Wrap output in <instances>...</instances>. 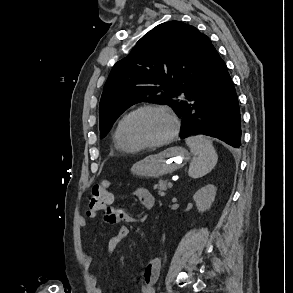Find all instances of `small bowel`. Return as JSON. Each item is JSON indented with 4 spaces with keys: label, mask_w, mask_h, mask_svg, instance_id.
<instances>
[{
    "label": "small bowel",
    "mask_w": 293,
    "mask_h": 293,
    "mask_svg": "<svg viewBox=\"0 0 293 293\" xmlns=\"http://www.w3.org/2000/svg\"><path fill=\"white\" fill-rule=\"evenodd\" d=\"M132 196L139 200V202L142 204L146 211H151L154 208L155 199L147 189L143 187H137L132 191ZM145 218L146 216L136 218L122 209L114 208L112 206V203L110 207L104 212V219L107 223L110 224L120 222H138L144 220ZM86 226V222L81 221V227L86 228ZM129 232V227L127 225H122L119 228L118 232L109 239L107 244L108 253H114L118 245L128 236ZM82 256L85 266L87 268H90L92 265V256L86 251L82 252ZM161 266L162 259L160 257H156L144 268L142 276L139 281L141 293H155L154 284L156 283L158 276L160 274ZM90 282L97 293L104 292L102 287L99 286L98 280L95 276H90Z\"/></svg>",
    "instance_id": "1"
}]
</instances>
